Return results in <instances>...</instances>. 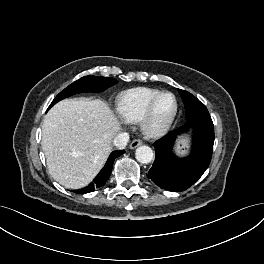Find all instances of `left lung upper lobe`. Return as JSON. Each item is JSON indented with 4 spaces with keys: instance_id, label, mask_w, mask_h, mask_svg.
<instances>
[{
    "instance_id": "5c2ea615",
    "label": "left lung upper lobe",
    "mask_w": 264,
    "mask_h": 264,
    "mask_svg": "<svg viewBox=\"0 0 264 264\" xmlns=\"http://www.w3.org/2000/svg\"><path fill=\"white\" fill-rule=\"evenodd\" d=\"M178 91L184 102L188 123L197 118L210 117L205 105L202 104L195 96L181 89H178Z\"/></svg>"
}]
</instances>
